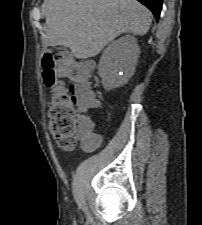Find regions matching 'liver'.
<instances>
[{"label": "liver", "instance_id": "1", "mask_svg": "<svg viewBox=\"0 0 202 225\" xmlns=\"http://www.w3.org/2000/svg\"><path fill=\"white\" fill-rule=\"evenodd\" d=\"M47 44L69 47L77 59L94 57L123 33L143 36L149 10L137 0H45Z\"/></svg>", "mask_w": 202, "mask_h": 225}]
</instances>
